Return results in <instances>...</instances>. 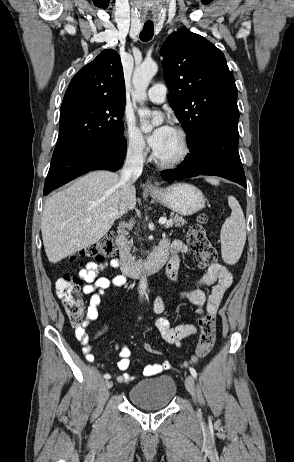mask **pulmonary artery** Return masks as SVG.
I'll return each instance as SVG.
<instances>
[{"label": "pulmonary artery", "mask_w": 294, "mask_h": 462, "mask_svg": "<svg viewBox=\"0 0 294 462\" xmlns=\"http://www.w3.org/2000/svg\"><path fill=\"white\" fill-rule=\"evenodd\" d=\"M167 88L162 83L154 84L149 90L147 91V96L150 101L154 103H163L166 99Z\"/></svg>", "instance_id": "obj_1"}]
</instances>
